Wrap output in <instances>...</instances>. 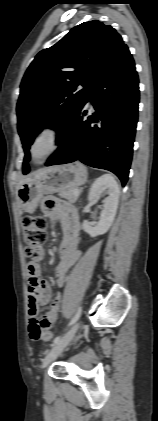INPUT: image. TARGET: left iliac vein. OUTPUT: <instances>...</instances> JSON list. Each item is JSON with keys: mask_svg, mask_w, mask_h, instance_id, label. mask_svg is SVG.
Instances as JSON below:
<instances>
[{"mask_svg": "<svg viewBox=\"0 0 158 421\" xmlns=\"http://www.w3.org/2000/svg\"><path fill=\"white\" fill-rule=\"evenodd\" d=\"M79 325V322L74 323V325L62 336V338H60V340L56 344H54L52 349L47 353V355L43 359V368L49 365L52 361H54L64 350V348L72 341L79 328Z\"/></svg>", "mask_w": 158, "mask_h": 421, "instance_id": "1", "label": "left iliac vein"}]
</instances>
